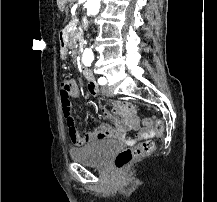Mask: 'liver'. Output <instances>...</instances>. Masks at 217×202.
I'll list each match as a JSON object with an SVG mask.
<instances>
[{
    "label": "liver",
    "instance_id": "obj_1",
    "mask_svg": "<svg viewBox=\"0 0 217 202\" xmlns=\"http://www.w3.org/2000/svg\"><path fill=\"white\" fill-rule=\"evenodd\" d=\"M68 2H74V0H57V6L60 12H64Z\"/></svg>",
    "mask_w": 217,
    "mask_h": 202
}]
</instances>
